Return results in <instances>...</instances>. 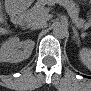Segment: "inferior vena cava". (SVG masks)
Returning a JSON list of instances; mask_svg holds the SVG:
<instances>
[{
	"label": "inferior vena cava",
	"mask_w": 91,
	"mask_h": 91,
	"mask_svg": "<svg viewBox=\"0 0 91 91\" xmlns=\"http://www.w3.org/2000/svg\"><path fill=\"white\" fill-rule=\"evenodd\" d=\"M30 26H31L32 30L42 29V28H44L46 26V23L43 20H41V21L40 20L39 21H32L30 23Z\"/></svg>",
	"instance_id": "602c4592"
}]
</instances>
